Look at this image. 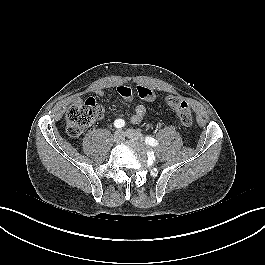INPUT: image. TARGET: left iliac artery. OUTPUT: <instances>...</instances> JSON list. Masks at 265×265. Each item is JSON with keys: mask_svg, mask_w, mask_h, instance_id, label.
Listing matches in <instances>:
<instances>
[{"mask_svg": "<svg viewBox=\"0 0 265 265\" xmlns=\"http://www.w3.org/2000/svg\"><path fill=\"white\" fill-rule=\"evenodd\" d=\"M145 142L146 144L151 145V146H157L159 144L157 140L149 136L145 138Z\"/></svg>", "mask_w": 265, "mask_h": 265, "instance_id": "left-iliac-artery-1", "label": "left iliac artery"}]
</instances>
